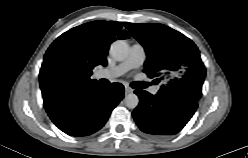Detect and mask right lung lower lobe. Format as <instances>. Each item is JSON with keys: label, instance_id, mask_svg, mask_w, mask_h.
I'll return each mask as SVG.
<instances>
[{"label": "right lung lower lobe", "instance_id": "obj_1", "mask_svg": "<svg viewBox=\"0 0 248 158\" xmlns=\"http://www.w3.org/2000/svg\"><path fill=\"white\" fill-rule=\"evenodd\" d=\"M124 97V86L113 83L109 88L99 84L44 102L53 123L64 133L87 136L98 131L111 111Z\"/></svg>", "mask_w": 248, "mask_h": 158}]
</instances>
